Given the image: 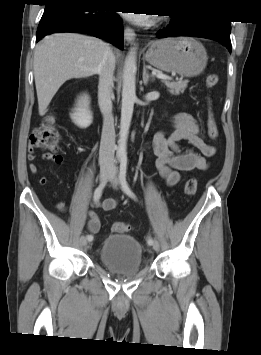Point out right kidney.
Returning <instances> with one entry per match:
<instances>
[{"label":"right kidney","mask_w":261,"mask_h":355,"mask_svg":"<svg viewBox=\"0 0 261 355\" xmlns=\"http://www.w3.org/2000/svg\"><path fill=\"white\" fill-rule=\"evenodd\" d=\"M89 97L87 95L81 96L76 104V107L71 113L72 121L80 128H87L93 121L92 112L89 109Z\"/></svg>","instance_id":"ca27d5eb"}]
</instances>
